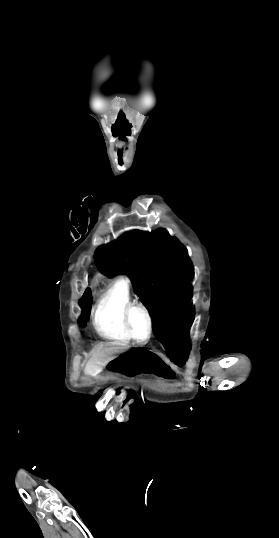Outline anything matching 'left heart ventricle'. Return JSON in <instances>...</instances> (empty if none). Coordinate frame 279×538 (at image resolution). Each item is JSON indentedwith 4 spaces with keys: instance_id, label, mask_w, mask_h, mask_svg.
I'll use <instances>...</instances> for the list:
<instances>
[{
    "instance_id": "obj_1",
    "label": "left heart ventricle",
    "mask_w": 279,
    "mask_h": 538,
    "mask_svg": "<svg viewBox=\"0 0 279 538\" xmlns=\"http://www.w3.org/2000/svg\"><path fill=\"white\" fill-rule=\"evenodd\" d=\"M131 327L134 336L139 340L146 339L148 325L145 316L140 311H135L131 317Z\"/></svg>"
}]
</instances>
